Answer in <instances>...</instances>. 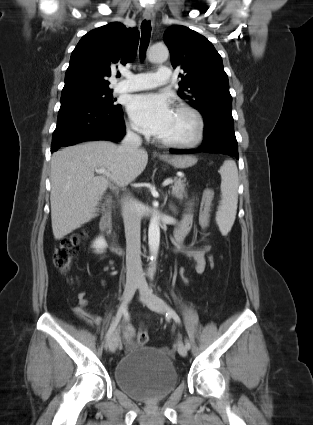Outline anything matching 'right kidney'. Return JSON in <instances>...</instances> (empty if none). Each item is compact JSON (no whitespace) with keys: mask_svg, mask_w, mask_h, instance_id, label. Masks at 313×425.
I'll list each match as a JSON object with an SVG mask.
<instances>
[{"mask_svg":"<svg viewBox=\"0 0 313 425\" xmlns=\"http://www.w3.org/2000/svg\"><path fill=\"white\" fill-rule=\"evenodd\" d=\"M106 247L107 244L103 237H98L93 243V248H95L97 252H103Z\"/></svg>","mask_w":313,"mask_h":425,"instance_id":"obj_1","label":"right kidney"}]
</instances>
